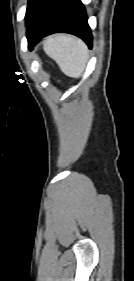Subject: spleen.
I'll return each mask as SVG.
<instances>
[{
  "instance_id": "spleen-1",
  "label": "spleen",
  "mask_w": 134,
  "mask_h": 281,
  "mask_svg": "<svg viewBox=\"0 0 134 281\" xmlns=\"http://www.w3.org/2000/svg\"><path fill=\"white\" fill-rule=\"evenodd\" d=\"M43 48L65 75L77 78L82 74L88 60V49L80 39L56 34L44 41Z\"/></svg>"
}]
</instances>
